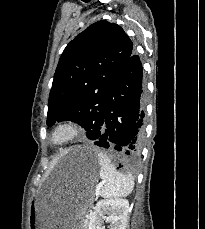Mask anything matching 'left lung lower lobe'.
Returning a JSON list of instances; mask_svg holds the SVG:
<instances>
[{"label": "left lung lower lobe", "instance_id": "1", "mask_svg": "<svg viewBox=\"0 0 205 229\" xmlns=\"http://www.w3.org/2000/svg\"><path fill=\"white\" fill-rule=\"evenodd\" d=\"M143 69L137 55L131 54L108 93L103 120L92 134L94 144L121 151L136 159L144 133Z\"/></svg>", "mask_w": 205, "mask_h": 229}]
</instances>
